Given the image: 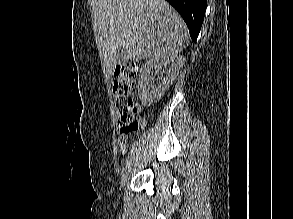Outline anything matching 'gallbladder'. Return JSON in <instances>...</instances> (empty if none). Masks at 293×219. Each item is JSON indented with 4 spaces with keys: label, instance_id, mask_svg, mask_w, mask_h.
<instances>
[{
    "label": "gallbladder",
    "instance_id": "gallbladder-1",
    "mask_svg": "<svg viewBox=\"0 0 293 219\" xmlns=\"http://www.w3.org/2000/svg\"><path fill=\"white\" fill-rule=\"evenodd\" d=\"M116 61H117V65H125L127 63L128 56H127L126 51L123 47H120L119 49H117Z\"/></svg>",
    "mask_w": 293,
    "mask_h": 219
}]
</instances>
